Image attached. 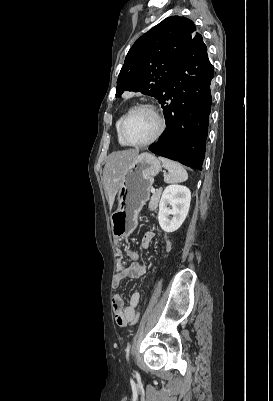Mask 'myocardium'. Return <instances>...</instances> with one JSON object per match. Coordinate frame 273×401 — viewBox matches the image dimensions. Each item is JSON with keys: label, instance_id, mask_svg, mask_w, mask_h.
Returning <instances> with one entry per match:
<instances>
[{"label": "myocardium", "instance_id": "obj_1", "mask_svg": "<svg viewBox=\"0 0 273 401\" xmlns=\"http://www.w3.org/2000/svg\"><path fill=\"white\" fill-rule=\"evenodd\" d=\"M138 111H148L151 114H153L158 120L159 127H158L157 132L150 139L142 141V142H131V141H128L124 137V126H125L126 122L128 121V119L134 113H136ZM165 130H166V121H165L164 117L161 115V113L156 109V107H154L153 105H150V104H139V105L133 107L132 109H130L125 114V116L122 118L120 125H119V136H120V139L122 140V142L125 143L127 146L144 147V146L150 145V144L154 143L155 141H157L158 139H160L162 137V135L164 134Z\"/></svg>", "mask_w": 273, "mask_h": 401}]
</instances>
